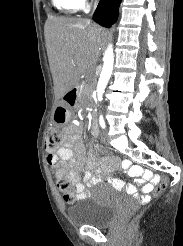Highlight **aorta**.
Segmentation results:
<instances>
[{
	"instance_id": "aorta-1",
	"label": "aorta",
	"mask_w": 183,
	"mask_h": 246,
	"mask_svg": "<svg viewBox=\"0 0 183 246\" xmlns=\"http://www.w3.org/2000/svg\"><path fill=\"white\" fill-rule=\"evenodd\" d=\"M104 64L102 71L100 73L99 81L97 84V96L98 101L102 100L103 93L105 91V88L107 86V83L111 77L112 70H113V64H114V55H113V46L110 44L104 54L103 58Z\"/></svg>"
}]
</instances>
